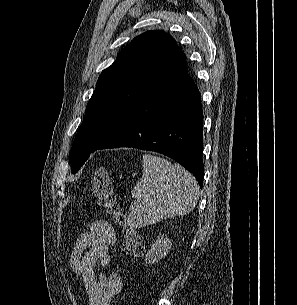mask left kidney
I'll use <instances>...</instances> for the list:
<instances>
[{"mask_svg":"<svg viewBox=\"0 0 297 305\" xmlns=\"http://www.w3.org/2000/svg\"><path fill=\"white\" fill-rule=\"evenodd\" d=\"M172 246V241L164 235H159L155 244L148 250L145 261L148 264H154L158 260L162 259L169 252Z\"/></svg>","mask_w":297,"mask_h":305,"instance_id":"left-kidney-1","label":"left kidney"}]
</instances>
